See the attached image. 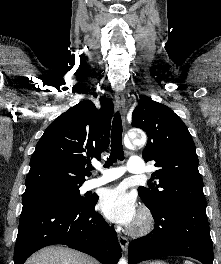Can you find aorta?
<instances>
[{"instance_id": "762f6f07", "label": "aorta", "mask_w": 221, "mask_h": 264, "mask_svg": "<svg viewBox=\"0 0 221 264\" xmlns=\"http://www.w3.org/2000/svg\"><path fill=\"white\" fill-rule=\"evenodd\" d=\"M146 141V138L144 135H140V136H135L133 137V142L136 145H143ZM118 264H127V260H125V258L120 259Z\"/></svg>"}]
</instances>
